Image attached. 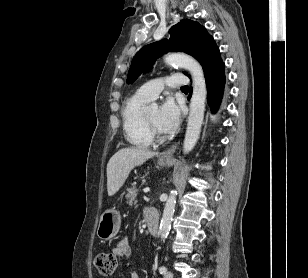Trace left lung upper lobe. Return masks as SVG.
Here are the masks:
<instances>
[{"label": "left lung upper lobe", "instance_id": "1", "mask_svg": "<svg viewBox=\"0 0 308 278\" xmlns=\"http://www.w3.org/2000/svg\"><path fill=\"white\" fill-rule=\"evenodd\" d=\"M170 39L147 45L134 56L127 83H133L138 76L152 66L156 58L169 51L185 52L194 56L203 67L204 74L222 63L219 48L212 36L199 23L183 19L169 30ZM184 74L187 75L186 72Z\"/></svg>", "mask_w": 308, "mask_h": 278}]
</instances>
